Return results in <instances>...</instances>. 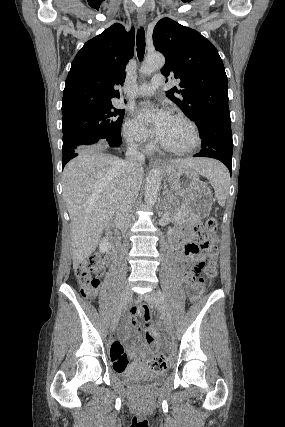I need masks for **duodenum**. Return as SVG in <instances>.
Masks as SVG:
<instances>
[{
  "label": "duodenum",
  "instance_id": "duodenum-1",
  "mask_svg": "<svg viewBox=\"0 0 285 427\" xmlns=\"http://www.w3.org/2000/svg\"><path fill=\"white\" fill-rule=\"evenodd\" d=\"M119 220L116 221V225L118 224ZM117 248V247H116Z\"/></svg>",
  "mask_w": 285,
  "mask_h": 427
}]
</instances>
